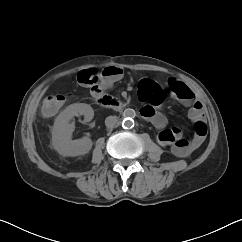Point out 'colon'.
Listing matches in <instances>:
<instances>
[{
  "instance_id": "5ec220e1",
  "label": "colon",
  "mask_w": 242,
  "mask_h": 242,
  "mask_svg": "<svg viewBox=\"0 0 242 242\" xmlns=\"http://www.w3.org/2000/svg\"><path fill=\"white\" fill-rule=\"evenodd\" d=\"M100 79V75L95 70H86L80 73V81L83 84L95 87ZM174 89L179 97L186 95L185 88L177 84ZM139 92L146 98L159 103L163 98V91L161 87L149 79H143L139 84ZM65 96L62 94H55L47 96L42 105V111L45 115L55 114L64 104ZM194 131L199 132L201 135L206 134V127L200 124L194 126Z\"/></svg>"
}]
</instances>
